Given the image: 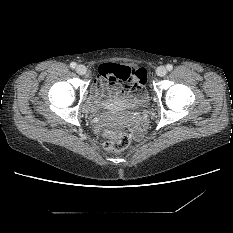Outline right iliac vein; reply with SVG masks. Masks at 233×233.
<instances>
[{"label": "right iliac vein", "instance_id": "obj_1", "mask_svg": "<svg viewBox=\"0 0 233 233\" xmlns=\"http://www.w3.org/2000/svg\"><path fill=\"white\" fill-rule=\"evenodd\" d=\"M87 69L84 65H78L76 67V72L79 74V75H84L86 73Z\"/></svg>", "mask_w": 233, "mask_h": 233}]
</instances>
